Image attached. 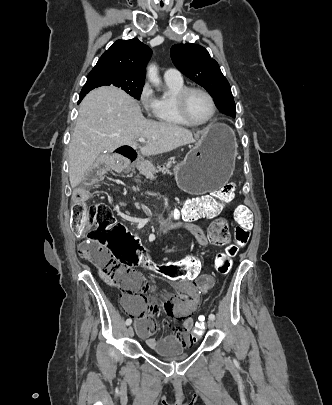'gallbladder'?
Here are the masks:
<instances>
[{"instance_id": "bac80fb5", "label": "gallbladder", "mask_w": 332, "mask_h": 405, "mask_svg": "<svg viewBox=\"0 0 332 405\" xmlns=\"http://www.w3.org/2000/svg\"><path fill=\"white\" fill-rule=\"evenodd\" d=\"M108 157V155L106 154H102L101 156H99V158L97 159V162L101 161V160H105Z\"/></svg>"}]
</instances>
